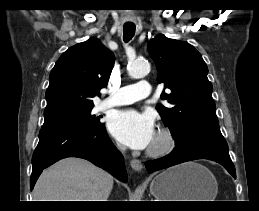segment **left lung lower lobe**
Here are the masks:
<instances>
[{
  "label": "left lung lower lobe",
  "instance_id": "obj_1",
  "mask_svg": "<svg viewBox=\"0 0 259 211\" xmlns=\"http://www.w3.org/2000/svg\"><path fill=\"white\" fill-rule=\"evenodd\" d=\"M196 159L215 161L236 178L235 167L229 156L228 145L224 137L206 132L193 134L184 142L176 144V148L169 155L153 161H147L145 166L152 173Z\"/></svg>",
  "mask_w": 259,
  "mask_h": 211
}]
</instances>
